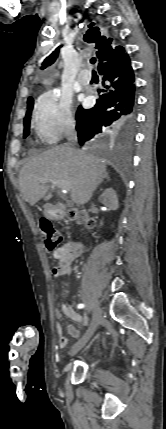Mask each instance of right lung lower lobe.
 Returning a JSON list of instances; mask_svg holds the SVG:
<instances>
[{
    "label": "right lung lower lobe",
    "mask_w": 166,
    "mask_h": 429,
    "mask_svg": "<svg viewBox=\"0 0 166 429\" xmlns=\"http://www.w3.org/2000/svg\"><path fill=\"white\" fill-rule=\"evenodd\" d=\"M98 70L103 79L102 94L93 108L80 106L76 113L80 145L105 132L128 135L134 124L135 77L125 49L120 56L100 61Z\"/></svg>",
    "instance_id": "right-lung-lower-lobe-1"
}]
</instances>
